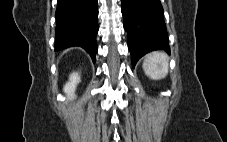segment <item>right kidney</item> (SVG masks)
Masks as SVG:
<instances>
[{
	"label": "right kidney",
	"instance_id": "1",
	"mask_svg": "<svg viewBox=\"0 0 227 142\" xmlns=\"http://www.w3.org/2000/svg\"><path fill=\"white\" fill-rule=\"evenodd\" d=\"M80 82V76L78 73L70 75L69 82L64 86V92L67 94V100L75 98V89L77 84Z\"/></svg>",
	"mask_w": 227,
	"mask_h": 142
}]
</instances>
